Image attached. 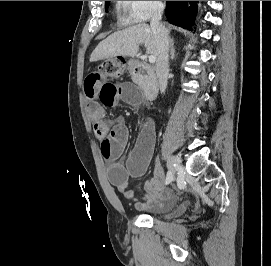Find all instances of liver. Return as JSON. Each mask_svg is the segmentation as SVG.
I'll list each match as a JSON object with an SVG mask.
<instances>
[{"mask_svg": "<svg viewBox=\"0 0 271 266\" xmlns=\"http://www.w3.org/2000/svg\"><path fill=\"white\" fill-rule=\"evenodd\" d=\"M168 32L170 28L166 29ZM144 44L146 53L157 57L155 35L148 24L142 23L115 32L101 41L90 56L95 62L116 56L134 57L139 51V45Z\"/></svg>", "mask_w": 271, "mask_h": 266, "instance_id": "6515ba94", "label": "liver"}]
</instances>
